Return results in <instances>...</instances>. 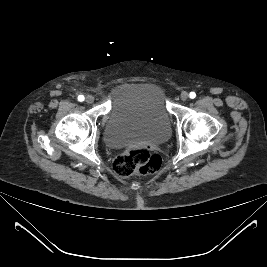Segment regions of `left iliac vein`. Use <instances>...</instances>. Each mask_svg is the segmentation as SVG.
I'll return each instance as SVG.
<instances>
[{"instance_id":"left-iliac-vein-1","label":"left iliac vein","mask_w":267,"mask_h":267,"mask_svg":"<svg viewBox=\"0 0 267 267\" xmlns=\"http://www.w3.org/2000/svg\"><path fill=\"white\" fill-rule=\"evenodd\" d=\"M182 101H186L189 98V94L187 92H182L180 95Z\"/></svg>"}]
</instances>
